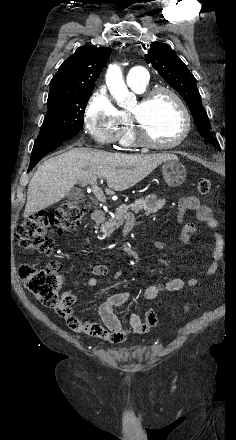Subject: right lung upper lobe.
Masks as SVG:
<instances>
[{
  "instance_id": "1",
  "label": "right lung upper lobe",
  "mask_w": 236,
  "mask_h": 440,
  "mask_svg": "<svg viewBox=\"0 0 236 440\" xmlns=\"http://www.w3.org/2000/svg\"><path fill=\"white\" fill-rule=\"evenodd\" d=\"M110 54L111 49L107 47H79L62 63L52 78L47 103L91 93Z\"/></svg>"
}]
</instances>
